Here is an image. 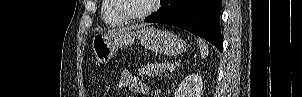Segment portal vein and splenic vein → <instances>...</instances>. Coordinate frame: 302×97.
<instances>
[{
	"label": "portal vein and splenic vein",
	"mask_w": 302,
	"mask_h": 97,
	"mask_svg": "<svg viewBox=\"0 0 302 97\" xmlns=\"http://www.w3.org/2000/svg\"><path fill=\"white\" fill-rule=\"evenodd\" d=\"M174 69H175V66L174 65H171L170 67H169V70L172 72V71H174Z\"/></svg>",
	"instance_id": "portal-vein-and-splenic-vein-1"
}]
</instances>
